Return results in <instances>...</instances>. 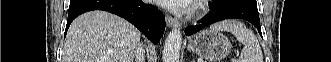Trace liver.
I'll list each match as a JSON object with an SVG mask.
<instances>
[{"label": "liver", "mask_w": 331, "mask_h": 62, "mask_svg": "<svg viewBox=\"0 0 331 62\" xmlns=\"http://www.w3.org/2000/svg\"><path fill=\"white\" fill-rule=\"evenodd\" d=\"M140 32L108 12L91 11L69 27L62 62H133Z\"/></svg>", "instance_id": "liver-1"}]
</instances>
